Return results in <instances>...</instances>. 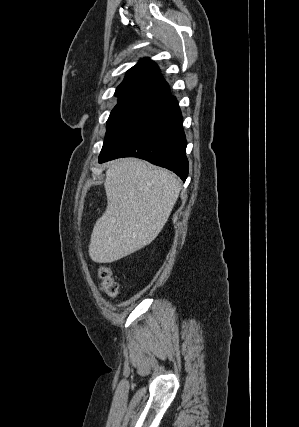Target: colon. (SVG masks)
Here are the masks:
<instances>
[{"instance_id": "5ec220e1", "label": "colon", "mask_w": 299, "mask_h": 427, "mask_svg": "<svg viewBox=\"0 0 299 427\" xmlns=\"http://www.w3.org/2000/svg\"><path fill=\"white\" fill-rule=\"evenodd\" d=\"M98 276L103 292L110 297H116L119 292V285L112 270L107 266H101Z\"/></svg>"}]
</instances>
